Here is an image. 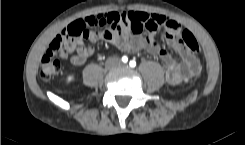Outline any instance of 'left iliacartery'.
Here are the masks:
<instances>
[{"label":"left iliac artery","instance_id":"44dca946","mask_svg":"<svg viewBox=\"0 0 245 145\" xmlns=\"http://www.w3.org/2000/svg\"><path fill=\"white\" fill-rule=\"evenodd\" d=\"M129 65H130L131 67H135V66H136V62L132 60V61H130Z\"/></svg>","mask_w":245,"mask_h":145}]
</instances>
